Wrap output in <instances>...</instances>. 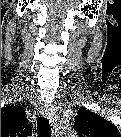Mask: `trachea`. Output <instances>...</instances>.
<instances>
[{
  "label": "trachea",
  "mask_w": 121,
  "mask_h": 137,
  "mask_svg": "<svg viewBox=\"0 0 121 137\" xmlns=\"http://www.w3.org/2000/svg\"><path fill=\"white\" fill-rule=\"evenodd\" d=\"M48 120L47 119H45V118H39L38 120H37V128H38V130H40V131H42V130H44V129H46L47 128V126H48Z\"/></svg>",
  "instance_id": "1"
}]
</instances>
